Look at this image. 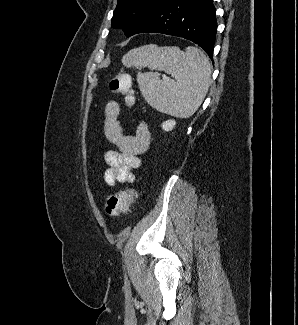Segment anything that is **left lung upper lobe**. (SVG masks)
<instances>
[{
	"instance_id": "1",
	"label": "left lung upper lobe",
	"mask_w": 298,
	"mask_h": 325,
	"mask_svg": "<svg viewBox=\"0 0 298 325\" xmlns=\"http://www.w3.org/2000/svg\"><path fill=\"white\" fill-rule=\"evenodd\" d=\"M164 1L118 0L112 17V26L123 28L129 37Z\"/></svg>"
}]
</instances>
